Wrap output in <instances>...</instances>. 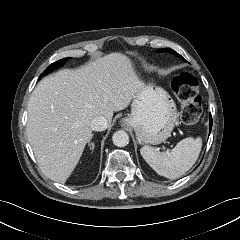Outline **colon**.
<instances>
[{"mask_svg":"<svg viewBox=\"0 0 240 240\" xmlns=\"http://www.w3.org/2000/svg\"><path fill=\"white\" fill-rule=\"evenodd\" d=\"M173 91L181 103V119L187 125L198 123L202 112L199 97L200 84L198 79L189 73L179 74L172 79Z\"/></svg>","mask_w":240,"mask_h":240,"instance_id":"colon-1","label":"colon"}]
</instances>
